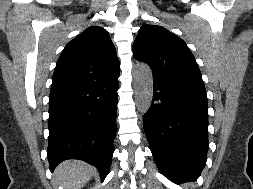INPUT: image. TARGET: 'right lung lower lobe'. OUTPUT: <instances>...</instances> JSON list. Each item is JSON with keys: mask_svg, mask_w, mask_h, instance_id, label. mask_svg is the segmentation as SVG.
<instances>
[{"mask_svg": "<svg viewBox=\"0 0 253 189\" xmlns=\"http://www.w3.org/2000/svg\"><path fill=\"white\" fill-rule=\"evenodd\" d=\"M118 77L94 84L52 86L49 96L50 170L66 159L97 167L108 174L116 133Z\"/></svg>", "mask_w": 253, "mask_h": 189, "instance_id": "right-lung-lower-lobe-1", "label": "right lung lower lobe"}]
</instances>
